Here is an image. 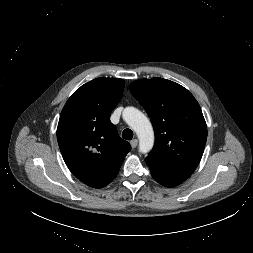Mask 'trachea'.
Segmentation results:
<instances>
[{
  "label": "trachea",
  "instance_id": "3493384b",
  "mask_svg": "<svg viewBox=\"0 0 253 253\" xmlns=\"http://www.w3.org/2000/svg\"><path fill=\"white\" fill-rule=\"evenodd\" d=\"M122 138L126 140H131L133 138V131L131 129H125L122 132Z\"/></svg>",
  "mask_w": 253,
  "mask_h": 253
}]
</instances>
